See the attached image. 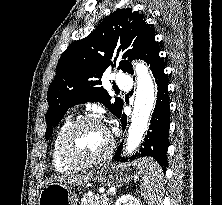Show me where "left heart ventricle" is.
I'll return each instance as SVG.
<instances>
[{"label": "left heart ventricle", "instance_id": "1", "mask_svg": "<svg viewBox=\"0 0 222 205\" xmlns=\"http://www.w3.org/2000/svg\"><path fill=\"white\" fill-rule=\"evenodd\" d=\"M108 139L105 127L99 124H85L71 134L67 147L73 156L91 159L104 152Z\"/></svg>", "mask_w": 222, "mask_h": 205}]
</instances>
